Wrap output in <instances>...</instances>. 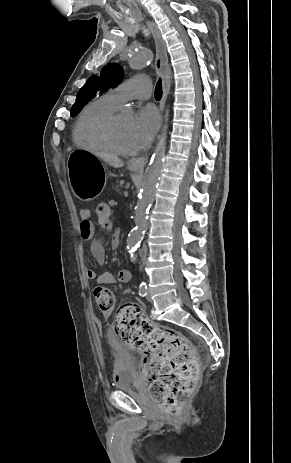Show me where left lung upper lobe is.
Masks as SVG:
<instances>
[{
    "label": "left lung upper lobe",
    "mask_w": 291,
    "mask_h": 463,
    "mask_svg": "<svg viewBox=\"0 0 291 463\" xmlns=\"http://www.w3.org/2000/svg\"><path fill=\"white\" fill-rule=\"evenodd\" d=\"M122 74L121 66L110 63L101 70L99 77L96 75L91 76L79 90L76 102L70 111L71 115H76L99 91H106L110 87H116L122 80Z\"/></svg>",
    "instance_id": "5c2ea615"
}]
</instances>
